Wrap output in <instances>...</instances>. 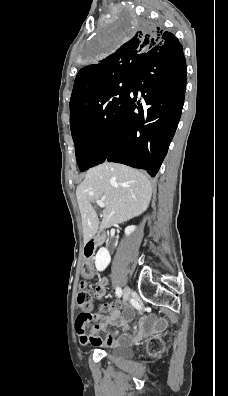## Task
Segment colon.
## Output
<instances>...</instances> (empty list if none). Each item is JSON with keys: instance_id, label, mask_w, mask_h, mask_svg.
<instances>
[{"instance_id": "5ec220e1", "label": "colon", "mask_w": 228, "mask_h": 396, "mask_svg": "<svg viewBox=\"0 0 228 396\" xmlns=\"http://www.w3.org/2000/svg\"><path fill=\"white\" fill-rule=\"evenodd\" d=\"M77 305L81 312L77 317V324L83 328L89 324L95 316L93 310V298L90 290L86 287L84 283L81 284V288L77 295ZM151 351L154 354H159L163 350L162 342L159 340H153L150 342Z\"/></svg>"}]
</instances>
